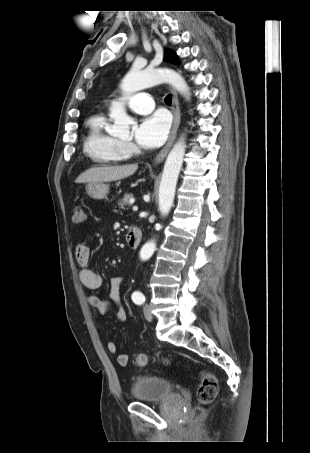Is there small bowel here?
Instances as JSON below:
<instances>
[{
  "instance_id": "c3829d8e",
  "label": "small bowel",
  "mask_w": 310,
  "mask_h": 453,
  "mask_svg": "<svg viewBox=\"0 0 310 453\" xmlns=\"http://www.w3.org/2000/svg\"><path fill=\"white\" fill-rule=\"evenodd\" d=\"M75 256L79 266L78 279L80 283L90 290L99 289L102 285V277L88 267L90 261V248L86 244H78L75 248ZM123 282V276L111 277L109 280V299L104 301L98 295L92 293L86 297L88 304L102 315L114 310L115 317L119 321H126L127 311L121 301L120 294ZM107 350L110 354H116V344L114 342H108ZM117 362L120 366L126 367L129 364V356L125 353H120L117 355Z\"/></svg>"
}]
</instances>
